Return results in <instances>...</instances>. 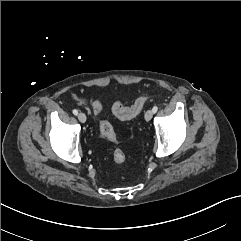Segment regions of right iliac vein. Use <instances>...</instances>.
Here are the masks:
<instances>
[{"instance_id":"1","label":"right iliac vein","mask_w":241,"mask_h":241,"mask_svg":"<svg viewBox=\"0 0 241 241\" xmlns=\"http://www.w3.org/2000/svg\"><path fill=\"white\" fill-rule=\"evenodd\" d=\"M78 119L80 122L84 123L86 121V115L82 112L78 114Z\"/></svg>"}]
</instances>
